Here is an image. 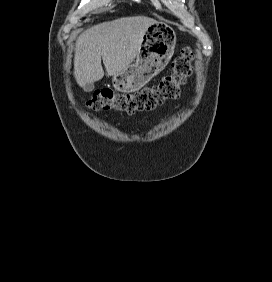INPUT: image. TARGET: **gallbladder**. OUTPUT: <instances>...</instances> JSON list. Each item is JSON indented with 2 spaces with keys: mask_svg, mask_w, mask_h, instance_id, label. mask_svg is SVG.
Here are the masks:
<instances>
[{
  "mask_svg": "<svg viewBox=\"0 0 272 282\" xmlns=\"http://www.w3.org/2000/svg\"><path fill=\"white\" fill-rule=\"evenodd\" d=\"M93 88H94L93 84L88 83L84 86V91L90 92L93 90Z\"/></svg>",
  "mask_w": 272,
  "mask_h": 282,
  "instance_id": "obj_1",
  "label": "gallbladder"
}]
</instances>
